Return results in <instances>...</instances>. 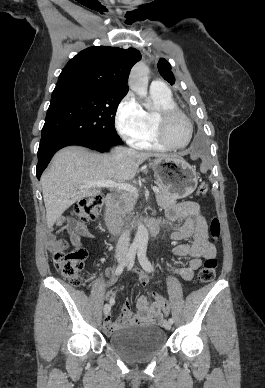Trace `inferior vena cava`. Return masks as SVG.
<instances>
[{
    "label": "inferior vena cava",
    "instance_id": "inferior-vena-cava-1",
    "mask_svg": "<svg viewBox=\"0 0 265 388\" xmlns=\"http://www.w3.org/2000/svg\"><path fill=\"white\" fill-rule=\"evenodd\" d=\"M129 246H130V232L129 230H124L116 246V258H127Z\"/></svg>",
    "mask_w": 265,
    "mask_h": 388
}]
</instances>
